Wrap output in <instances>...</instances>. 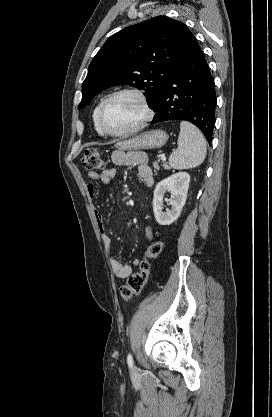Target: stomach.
Returning a JSON list of instances; mask_svg holds the SVG:
<instances>
[{
  "label": "stomach",
  "mask_w": 272,
  "mask_h": 417,
  "mask_svg": "<svg viewBox=\"0 0 272 417\" xmlns=\"http://www.w3.org/2000/svg\"><path fill=\"white\" fill-rule=\"evenodd\" d=\"M168 135L161 129L150 130L131 139L122 141L116 146L122 150L157 149L166 144Z\"/></svg>",
  "instance_id": "stomach-1"
}]
</instances>
